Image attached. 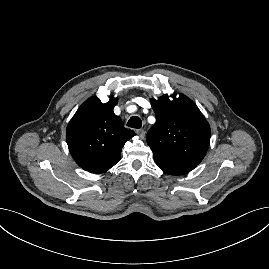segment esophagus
<instances>
[{
    "label": "esophagus",
    "mask_w": 269,
    "mask_h": 269,
    "mask_svg": "<svg viewBox=\"0 0 269 269\" xmlns=\"http://www.w3.org/2000/svg\"><path fill=\"white\" fill-rule=\"evenodd\" d=\"M136 133L138 134V136L140 137V138H144L145 137V131L143 130V129H138L137 131H136Z\"/></svg>",
    "instance_id": "obj_1"
}]
</instances>
